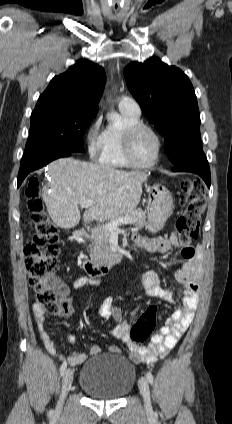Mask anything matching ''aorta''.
<instances>
[{
    "label": "aorta",
    "mask_w": 232,
    "mask_h": 424,
    "mask_svg": "<svg viewBox=\"0 0 232 424\" xmlns=\"http://www.w3.org/2000/svg\"><path fill=\"white\" fill-rule=\"evenodd\" d=\"M119 119V115L115 112V111H111L109 114H108V120L109 121H116V120H118Z\"/></svg>",
    "instance_id": "1"
}]
</instances>
